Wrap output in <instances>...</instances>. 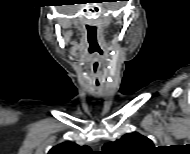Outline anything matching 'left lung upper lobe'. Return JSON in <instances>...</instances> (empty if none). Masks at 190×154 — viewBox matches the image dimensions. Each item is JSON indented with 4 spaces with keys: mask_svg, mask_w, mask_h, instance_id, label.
Listing matches in <instances>:
<instances>
[{
    "mask_svg": "<svg viewBox=\"0 0 190 154\" xmlns=\"http://www.w3.org/2000/svg\"><path fill=\"white\" fill-rule=\"evenodd\" d=\"M155 149L152 141L139 133H128L103 146L104 154H143Z\"/></svg>",
    "mask_w": 190,
    "mask_h": 154,
    "instance_id": "1",
    "label": "left lung upper lobe"
}]
</instances>
